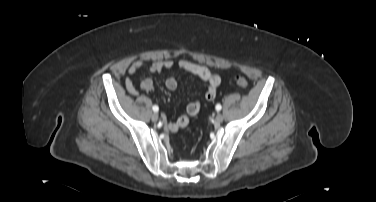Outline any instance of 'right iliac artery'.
Returning a JSON list of instances; mask_svg holds the SVG:
<instances>
[{"label":"right iliac artery","instance_id":"right-iliac-artery-1","mask_svg":"<svg viewBox=\"0 0 376 202\" xmlns=\"http://www.w3.org/2000/svg\"><path fill=\"white\" fill-rule=\"evenodd\" d=\"M152 109H153L154 112H158L159 111V107L157 105H154L152 107Z\"/></svg>","mask_w":376,"mask_h":202}]
</instances>
